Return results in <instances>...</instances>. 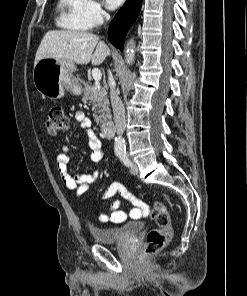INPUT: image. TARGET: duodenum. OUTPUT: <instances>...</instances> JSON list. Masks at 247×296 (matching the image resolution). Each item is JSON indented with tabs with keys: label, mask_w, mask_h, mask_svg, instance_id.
I'll list each match as a JSON object with an SVG mask.
<instances>
[{
	"label": "duodenum",
	"mask_w": 247,
	"mask_h": 296,
	"mask_svg": "<svg viewBox=\"0 0 247 296\" xmlns=\"http://www.w3.org/2000/svg\"><path fill=\"white\" fill-rule=\"evenodd\" d=\"M100 128H101L102 133L106 137L110 138V137H113L114 136V133H115V124H114L113 120H111V119L103 120L100 123Z\"/></svg>",
	"instance_id": "obj_1"
}]
</instances>
